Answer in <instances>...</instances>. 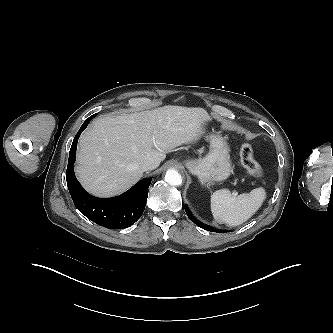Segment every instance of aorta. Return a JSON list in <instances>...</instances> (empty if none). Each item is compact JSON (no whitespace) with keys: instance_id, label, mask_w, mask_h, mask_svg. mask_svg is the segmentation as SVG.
<instances>
[{"instance_id":"obj_1","label":"aorta","mask_w":333,"mask_h":333,"mask_svg":"<svg viewBox=\"0 0 333 333\" xmlns=\"http://www.w3.org/2000/svg\"><path fill=\"white\" fill-rule=\"evenodd\" d=\"M165 181L170 185L179 186L182 184V176L177 170L168 169L165 174Z\"/></svg>"}]
</instances>
